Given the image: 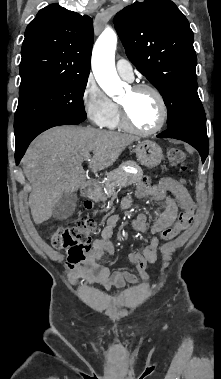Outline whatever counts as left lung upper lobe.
<instances>
[{
  "label": "left lung upper lobe",
  "instance_id": "5c2ea615",
  "mask_svg": "<svg viewBox=\"0 0 221 379\" xmlns=\"http://www.w3.org/2000/svg\"><path fill=\"white\" fill-rule=\"evenodd\" d=\"M129 60L161 93L167 127L206 132V115L197 93L194 35L187 18L170 0H145L114 17Z\"/></svg>",
  "mask_w": 221,
  "mask_h": 379
}]
</instances>
